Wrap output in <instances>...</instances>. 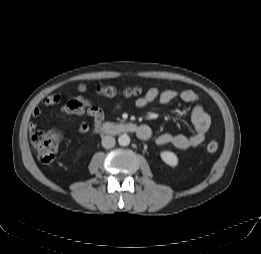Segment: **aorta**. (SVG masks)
<instances>
[{
    "mask_svg": "<svg viewBox=\"0 0 261 254\" xmlns=\"http://www.w3.org/2000/svg\"><path fill=\"white\" fill-rule=\"evenodd\" d=\"M118 143L121 146H127L130 144V137L127 134H122L118 138Z\"/></svg>",
    "mask_w": 261,
    "mask_h": 254,
    "instance_id": "762f6f07",
    "label": "aorta"
}]
</instances>
